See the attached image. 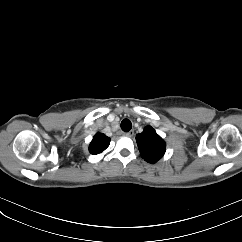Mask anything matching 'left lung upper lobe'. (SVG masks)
Returning a JSON list of instances; mask_svg holds the SVG:
<instances>
[{"mask_svg": "<svg viewBox=\"0 0 242 242\" xmlns=\"http://www.w3.org/2000/svg\"><path fill=\"white\" fill-rule=\"evenodd\" d=\"M137 145L142 158L155 163L165 153L166 144L151 126H146L144 131L136 135Z\"/></svg>", "mask_w": 242, "mask_h": 242, "instance_id": "obj_1", "label": "left lung upper lobe"}]
</instances>
